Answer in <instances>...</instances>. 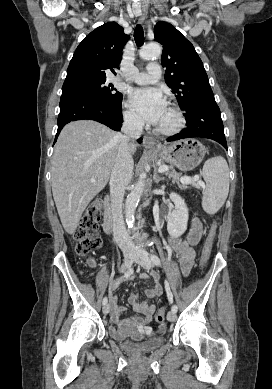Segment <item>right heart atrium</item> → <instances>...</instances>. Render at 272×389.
Instances as JSON below:
<instances>
[{"instance_id":"right-heart-atrium-1","label":"right heart atrium","mask_w":272,"mask_h":389,"mask_svg":"<svg viewBox=\"0 0 272 389\" xmlns=\"http://www.w3.org/2000/svg\"><path fill=\"white\" fill-rule=\"evenodd\" d=\"M124 119L126 123L133 128L142 127V121L135 111L128 109L124 112Z\"/></svg>"}]
</instances>
